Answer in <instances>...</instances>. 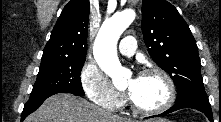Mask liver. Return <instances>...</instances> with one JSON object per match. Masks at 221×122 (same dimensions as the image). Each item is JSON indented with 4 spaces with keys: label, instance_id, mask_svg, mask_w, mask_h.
<instances>
[{
    "label": "liver",
    "instance_id": "obj_1",
    "mask_svg": "<svg viewBox=\"0 0 221 122\" xmlns=\"http://www.w3.org/2000/svg\"><path fill=\"white\" fill-rule=\"evenodd\" d=\"M25 122H133L111 114L87 100L67 93L55 94L44 101Z\"/></svg>",
    "mask_w": 221,
    "mask_h": 122
}]
</instances>
